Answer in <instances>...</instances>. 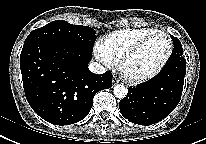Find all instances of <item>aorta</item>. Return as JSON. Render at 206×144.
Wrapping results in <instances>:
<instances>
[{"label": "aorta", "mask_w": 206, "mask_h": 144, "mask_svg": "<svg viewBox=\"0 0 206 144\" xmlns=\"http://www.w3.org/2000/svg\"><path fill=\"white\" fill-rule=\"evenodd\" d=\"M113 93L117 98L122 99V98L126 97V95L128 93V89H127V87H125L122 84H117L114 86Z\"/></svg>", "instance_id": "762f6f07"}]
</instances>
